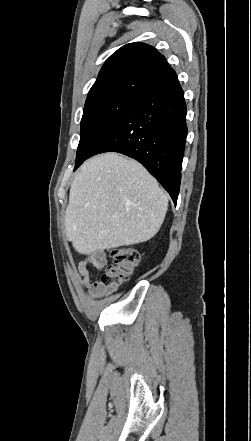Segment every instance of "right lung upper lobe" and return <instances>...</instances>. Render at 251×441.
Masks as SVG:
<instances>
[{
	"instance_id": "cb5924a9",
	"label": "right lung upper lobe",
	"mask_w": 251,
	"mask_h": 441,
	"mask_svg": "<svg viewBox=\"0 0 251 441\" xmlns=\"http://www.w3.org/2000/svg\"><path fill=\"white\" fill-rule=\"evenodd\" d=\"M175 74L152 46L139 42L124 45L104 63L85 105L108 98H140Z\"/></svg>"
}]
</instances>
